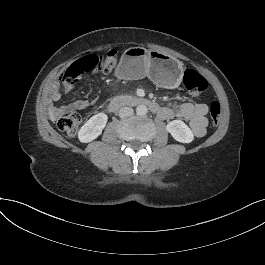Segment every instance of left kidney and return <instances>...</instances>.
<instances>
[{"mask_svg":"<svg viewBox=\"0 0 265 265\" xmlns=\"http://www.w3.org/2000/svg\"><path fill=\"white\" fill-rule=\"evenodd\" d=\"M166 129L176 141L190 143L194 139L190 128L181 120H173L169 122Z\"/></svg>","mask_w":265,"mask_h":265,"instance_id":"left-kidney-1","label":"left kidney"}]
</instances>
